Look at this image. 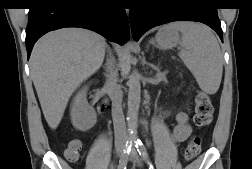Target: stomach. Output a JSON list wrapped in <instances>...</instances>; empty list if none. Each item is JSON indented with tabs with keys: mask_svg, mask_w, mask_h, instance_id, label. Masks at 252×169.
I'll return each instance as SVG.
<instances>
[{
	"mask_svg": "<svg viewBox=\"0 0 252 169\" xmlns=\"http://www.w3.org/2000/svg\"><path fill=\"white\" fill-rule=\"evenodd\" d=\"M156 42L159 47L164 49H170L176 47L181 43V36L179 30L172 25H166L162 27L155 36Z\"/></svg>",
	"mask_w": 252,
	"mask_h": 169,
	"instance_id": "1",
	"label": "stomach"
}]
</instances>
